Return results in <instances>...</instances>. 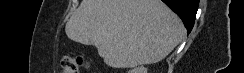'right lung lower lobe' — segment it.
Returning <instances> with one entry per match:
<instances>
[{"label": "right lung lower lobe", "instance_id": "obj_1", "mask_svg": "<svg viewBox=\"0 0 244 73\" xmlns=\"http://www.w3.org/2000/svg\"><path fill=\"white\" fill-rule=\"evenodd\" d=\"M183 21L187 32L190 33L197 13L199 0H162Z\"/></svg>", "mask_w": 244, "mask_h": 73}]
</instances>
